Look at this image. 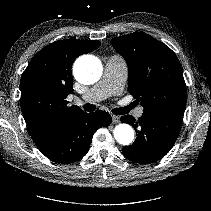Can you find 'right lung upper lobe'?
I'll use <instances>...</instances> for the list:
<instances>
[{"mask_svg":"<svg viewBox=\"0 0 211 211\" xmlns=\"http://www.w3.org/2000/svg\"><path fill=\"white\" fill-rule=\"evenodd\" d=\"M100 46V41L61 40L41 49L22 74L20 106L36 144L46 143L73 115L78 106H67L73 93L71 66L74 60Z\"/></svg>","mask_w":211,"mask_h":211,"instance_id":"cb5924a9","label":"right lung upper lobe"}]
</instances>
